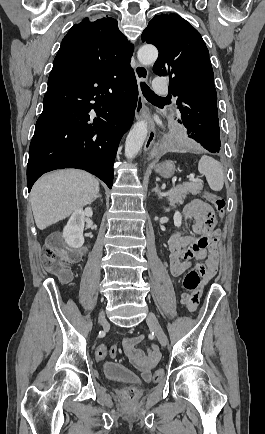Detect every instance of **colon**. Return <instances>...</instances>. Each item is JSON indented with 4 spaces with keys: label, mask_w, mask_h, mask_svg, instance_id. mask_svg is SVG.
<instances>
[{
    "label": "colon",
    "mask_w": 265,
    "mask_h": 434,
    "mask_svg": "<svg viewBox=\"0 0 265 434\" xmlns=\"http://www.w3.org/2000/svg\"><path fill=\"white\" fill-rule=\"evenodd\" d=\"M211 205L217 211L219 217H223L225 214V199L217 193H211L209 195ZM62 246L59 245L58 238L51 239L47 246L44 248V260L43 268L50 274L60 278L62 284H68L72 278V272L69 269V265L76 260V256L70 254L61 253ZM200 270H196L195 265L192 266L188 273L184 274L183 285L186 289V293L183 295V302L188 309L191 303V294L194 293V286H200L204 278H200ZM116 354V349L109 348L105 344H101L97 351L96 357L98 361H103L106 356ZM163 374L161 369H158L154 373V379L158 381ZM128 395V401H133V396L137 395L138 390L135 387H128L125 389Z\"/></svg>",
    "instance_id": "5ec220e1"
}]
</instances>
